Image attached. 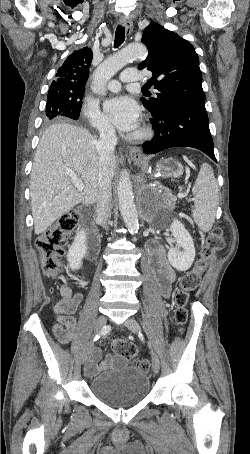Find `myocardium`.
Instances as JSON below:
<instances>
[{
    "mask_svg": "<svg viewBox=\"0 0 250 454\" xmlns=\"http://www.w3.org/2000/svg\"><path fill=\"white\" fill-rule=\"evenodd\" d=\"M150 129L146 125H142L138 128L136 133L130 134L128 139L131 141H143L150 136Z\"/></svg>",
    "mask_w": 250,
    "mask_h": 454,
    "instance_id": "myocardium-1",
    "label": "myocardium"
}]
</instances>
